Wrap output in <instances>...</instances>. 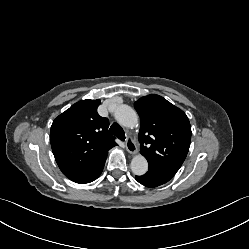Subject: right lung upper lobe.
<instances>
[{"label":"right lung upper lobe","instance_id":"right-lung-upper-lobe-1","mask_svg":"<svg viewBox=\"0 0 249 249\" xmlns=\"http://www.w3.org/2000/svg\"><path fill=\"white\" fill-rule=\"evenodd\" d=\"M100 100H81L60 114L51 126L50 142L60 170L76 183L95 180L108 150L117 144L109 122L97 113Z\"/></svg>","mask_w":249,"mask_h":249}]
</instances>
